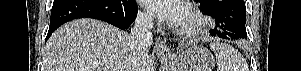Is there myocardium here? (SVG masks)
<instances>
[{"mask_svg":"<svg viewBox=\"0 0 301 71\" xmlns=\"http://www.w3.org/2000/svg\"><path fill=\"white\" fill-rule=\"evenodd\" d=\"M188 22L180 28V32L186 36H195L203 32L207 27L205 17L195 8H187Z\"/></svg>","mask_w":301,"mask_h":71,"instance_id":"obj_1","label":"myocardium"}]
</instances>
